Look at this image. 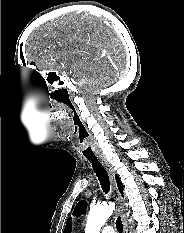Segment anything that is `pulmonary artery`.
I'll return each mask as SVG.
<instances>
[{"label":"pulmonary artery","instance_id":"1","mask_svg":"<svg viewBox=\"0 0 184 233\" xmlns=\"http://www.w3.org/2000/svg\"><path fill=\"white\" fill-rule=\"evenodd\" d=\"M101 233H115L113 227L111 226H105L102 230Z\"/></svg>","mask_w":184,"mask_h":233}]
</instances>
